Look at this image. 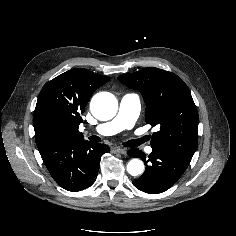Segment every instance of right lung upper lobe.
<instances>
[{
	"mask_svg": "<svg viewBox=\"0 0 236 236\" xmlns=\"http://www.w3.org/2000/svg\"><path fill=\"white\" fill-rule=\"evenodd\" d=\"M108 76L86 69L69 70L47 82L40 91L33 116L37 147L68 138H82L81 114L93 92Z\"/></svg>",
	"mask_w": 236,
	"mask_h": 236,
	"instance_id": "right-lung-upper-lobe-1",
	"label": "right lung upper lobe"
}]
</instances>
